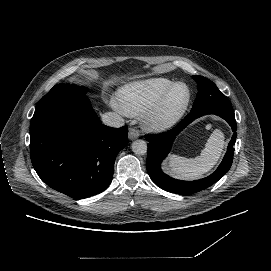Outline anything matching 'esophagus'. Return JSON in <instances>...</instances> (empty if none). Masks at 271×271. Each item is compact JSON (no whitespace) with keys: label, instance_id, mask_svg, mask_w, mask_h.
<instances>
[{"label":"esophagus","instance_id":"esophagus-1","mask_svg":"<svg viewBox=\"0 0 271 271\" xmlns=\"http://www.w3.org/2000/svg\"><path fill=\"white\" fill-rule=\"evenodd\" d=\"M139 137V132L138 130L134 129V128H130L129 129V133H128V138L130 140H134L137 139Z\"/></svg>","mask_w":271,"mask_h":271}]
</instances>
